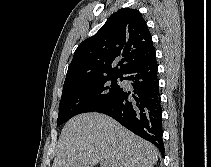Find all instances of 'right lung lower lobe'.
Masks as SVG:
<instances>
[{
    "label": "right lung lower lobe",
    "instance_id": "right-lung-lower-lobe-1",
    "mask_svg": "<svg viewBox=\"0 0 211 167\" xmlns=\"http://www.w3.org/2000/svg\"><path fill=\"white\" fill-rule=\"evenodd\" d=\"M156 56L135 65L124 74L132 81V91L123 89L109 104L97 110L154 144L163 155L162 109Z\"/></svg>",
    "mask_w": 211,
    "mask_h": 167
}]
</instances>
